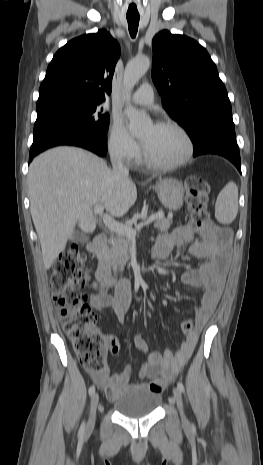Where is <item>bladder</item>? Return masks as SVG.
<instances>
[{
  "label": "bladder",
  "mask_w": 263,
  "mask_h": 465,
  "mask_svg": "<svg viewBox=\"0 0 263 465\" xmlns=\"http://www.w3.org/2000/svg\"><path fill=\"white\" fill-rule=\"evenodd\" d=\"M159 393L143 386H134L113 403V409L127 418H140L153 413L161 404Z\"/></svg>",
  "instance_id": "obj_1"
}]
</instances>
